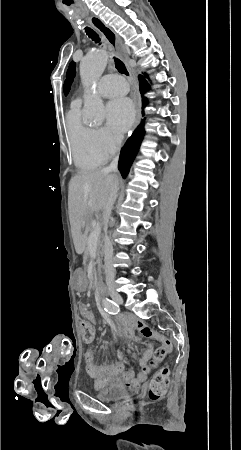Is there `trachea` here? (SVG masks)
I'll list each match as a JSON object with an SVG mask.
<instances>
[{"mask_svg":"<svg viewBox=\"0 0 241 450\" xmlns=\"http://www.w3.org/2000/svg\"><path fill=\"white\" fill-rule=\"evenodd\" d=\"M85 31H86V34L89 36V38H91L95 43H99V44L102 43L100 36L93 29H91L90 27H85ZM113 58H114L115 66H116L118 72L123 73L124 75H129L125 64L118 58H116V57H113Z\"/></svg>","mask_w":241,"mask_h":450,"instance_id":"3493384b","label":"trachea"}]
</instances>
